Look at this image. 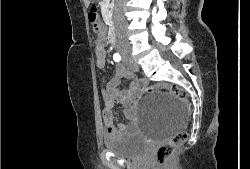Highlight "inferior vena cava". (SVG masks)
I'll return each mask as SVG.
<instances>
[{"instance_id":"inferior-vena-cava-1","label":"inferior vena cava","mask_w":250,"mask_h":169,"mask_svg":"<svg viewBox=\"0 0 250 169\" xmlns=\"http://www.w3.org/2000/svg\"><path fill=\"white\" fill-rule=\"evenodd\" d=\"M125 2L126 0H115L113 22L117 34H119V32H125V30H127L126 18L124 14Z\"/></svg>"}]
</instances>
